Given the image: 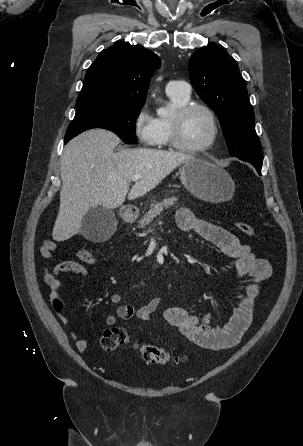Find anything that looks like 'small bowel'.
<instances>
[{
  "label": "small bowel",
  "mask_w": 303,
  "mask_h": 446,
  "mask_svg": "<svg viewBox=\"0 0 303 446\" xmlns=\"http://www.w3.org/2000/svg\"><path fill=\"white\" fill-rule=\"evenodd\" d=\"M176 222L182 231L199 236L216 246L223 254L233 258L237 279H246V284L231 318L223 326L214 325L208 316H199L177 306L166 309L164 318L189 341L201 348L211 351L230 349L238 344L251 324L253 309L260 296L262 283L271 275V265L266 259L258 258L251 247L242 244L233 233L217 224L196 217L187 208H180L177 211ZM56 248V243L47 239L43 241L39 253L42 258L51 259ZM60 273H74L85 277L87 270L81 263L73 260L62 261L53 269L44 268V280L50 289L53 307L63 325L67 327L70 336L76 341L77 349L84 352L88 347V342L80 338L78 330L71 324L64 311V302L59 295ZM123 301L122 294L111 295L110 302L118 306L105 316L107 325L115 324L117 319L127 320L133 317L148 321L161 305L159 296H154L139 308L122 303Z\"/></svg>",
  "instance_id": "obj_1"
}]
</instances>
